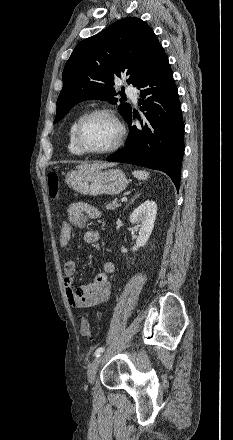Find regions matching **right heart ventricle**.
I'll return each mask as SVG.
<instances>
[{"instance_id":"right-heart-ventricle-1","label":"right heart ventricle","mask_w":233,"mask_h":440,"mask_svg":"<svg viewBox=\"0 0 233 440\" xmlns=\"http://www.w3.org/2000/svg\"><path fill=\"white\" fill-rule=\"evenodd\" d=\"M80 117L81 116H78L72 121V123L70 124L69 130H68L67 148H68V151L75 156L82 155V153L78 150V148L76 147V145L74 143V129H75V126H76L78 120L80 119Z\"/></svg>"}]
</instances>
